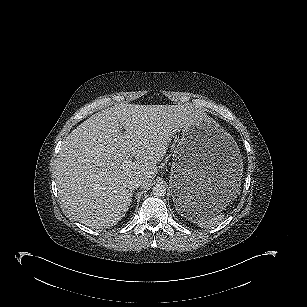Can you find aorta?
<instances>
[{"instance_id":"1","label":"aorta","mask_w":307,"mask_h":307,"mask_svg":"<svg viewBox=\"0 0 307 307\" xmlns=\"http://www.w3.org/2000/svg\"><path fill=\"white\" fill-rule=\"evenodd\" d=\"M152 193L155 197H163L166 195V187L162 184H156L152 188Z\"/></svg>"}]
</instances>
